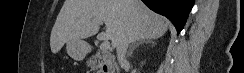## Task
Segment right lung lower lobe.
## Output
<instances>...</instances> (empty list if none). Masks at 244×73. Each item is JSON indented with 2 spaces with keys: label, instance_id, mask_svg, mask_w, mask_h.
<instances>
[{
  "label": "right lung lower lobe",
  "instance_id": "right-lung-lower-lobe-1",
  "mask_svg": "<svg viewBox=\"0 0 244 73\" xmlns=\"http://www.w3.org/2000/svg\"><path fill=\"white\" fill-rule=\"evenodd\" d=\"M151 10L170 19L178 33L183 29L194 0H142Z\"/></svg>",
  "mask_w": 244,
  "mask_h": 73
}]
</instances>
